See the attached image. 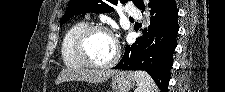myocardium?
<instances>
[{
  "instance_id": "myocardium-1",
  "label": "myocardium",
  "mask_w": 225,
  "mask_h": 92,
  "mask_svg": "<svg viewBox=\"0 0 225 92\" xmlns=\"http://www.w3.org/2000/svg\"><path fill=\"white\" fill-rule=\"evenodd\" d=\"M95 32H106L111 37L114 39L115 42V55L114 57L108 61L107 63L99 64L94 62L88 55L87 50H86V45L91 37L92 34ZM74 52L79 59L80 63L87 68L91 69H108L113 67L119 60L121 51H120V46L111 31V29L103 24H93V25H88L86 28H84L76 37L74 44Z\"/></svg>"
}]
</instances>
